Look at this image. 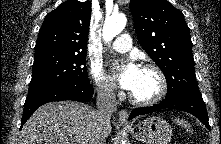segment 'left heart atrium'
I'll use <instances>...</instances> for the list:
<instances>
[{
	"instance_id": "obj_1",
	"label": "left heart atrium",
	"mask_w": 221,
	"mask_h": 144,
	"mask_svg": "<svg viewBox=\"0 0 221 144\" xmlns=\"http://www.w3.org/2000/svg\"><path fill=\"white\" fill-rule=\"evenodd\" d=\"M140 68L133 62L129 61L123 71L118 75V81L126 90L132 91L137 83Z\"/></svg>"
}]
</instances>
